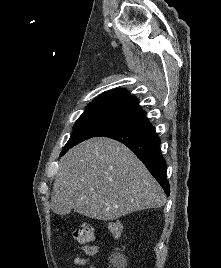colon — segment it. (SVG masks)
Instances as JSON below:
<instances>
[{"label":"colon","mask_w":221,"mask_h":268,"mask_svg":"<svg viewBox=\"0 0 221 268\" xmlns=\"http://www.w3.org/2000/svg\"><path fill=\"white\" fill-rule=\"evenodd\" d=\"M110 231L115 237H120L123 232V226L120 222L110 223ZM73 238L79 244H90L95 238L94 228L89 224H83L72 231Z\"/></svg>","instance_id":"1"}]
</instances>
